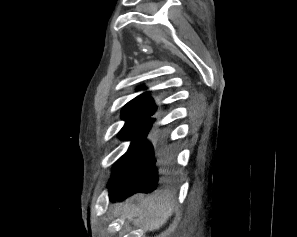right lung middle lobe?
<instances>
[{
    "label": "right lung middle lobe",
    "mask_w": 297,
    "mask_h": 237,
    "mask_svg": "<svg viewBox=\"0 0 297 237\" xmlns=\"http://www.w3.org/2000/svg\"><path fill=\"white\" fill-rule=\"evenodd\" d=\"M152 120H140L126 123L121 129L119 137L121 139L130 140L131 144L128 151L115 163L112 179L109 183V188L117 187L120 178L126 168L129 158L131 157L138 144L144 139L148 130L152 126Z\"/></svg>",
    "instance_id": "1"
}]
</instances>
